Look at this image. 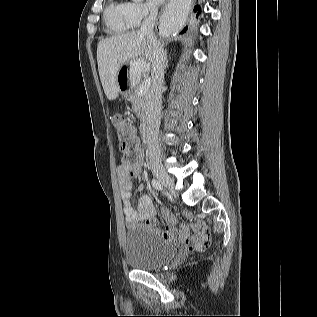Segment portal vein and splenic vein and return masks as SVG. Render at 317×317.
Masks as SVG:
<instances>
[{
	"mask_svg": "<svg viewBox=\"0 0 317 317\" xmlns=\"http://www.w3.org/2000/svg\"><path fill=\"white\" fill-rule=\"evenodd\" d=\"M144 67H146V63L144 62H141L138 66L139 69H143ZM150 84L151 83L149 79L145 80L139 87L138 94L146 93L149 90Z\"/></svg>",
	"mask_w": 317,
	"mask_h": 317,
	"instance_id": "obj_1",
	"label": "portal vein and splenic vein"
}]
</instances>
